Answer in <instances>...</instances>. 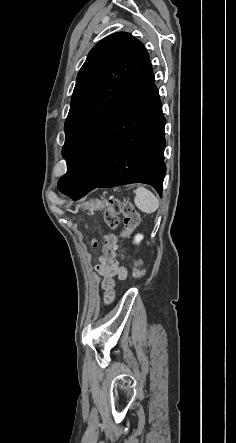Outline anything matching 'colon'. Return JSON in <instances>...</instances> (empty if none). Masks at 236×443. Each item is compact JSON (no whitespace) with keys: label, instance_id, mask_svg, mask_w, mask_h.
<instances>
[{"label":"colon","instance_id":"1","mask_svg":"<svg viewBox=\"0 0 236 443\" xmlns=\"http://www.w3.org/2000/svg\"><path fill=\"white\" fill-rule=\"evenodd\" d=\"M120 214L124 216L125 229L120 234H116L114 231L118 227ZM139 219V214L130 202H124L117 198H112L109 200V204L104 216L105 223L109 228V232L106 233L103 238V254L105 258L114 259L117 257L119 238L128 237L137 227ZM119 256L124 257V254L119 253ZM142 275L143 271L139 266V261L136 260L132 269V276L135 279H139L142 277Z\"/></svg>","mask_w":236,"mask_h":443}]
</instances>
